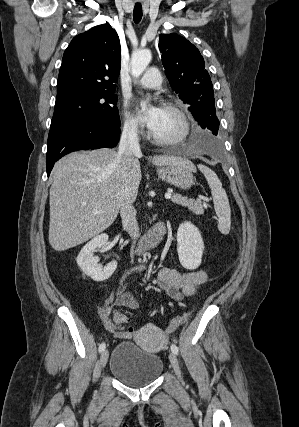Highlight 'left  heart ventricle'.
I'll list each match as a JSON object with an SVG mask.
<instances>
[{
	"label": "left heart ventricle",
	"instance_id": "b2bd125f",
	"mask_svg": "<svg viewBox=\"0 0 299 427\" xmlns=\"http://www.w3.org/2000/svg\"><path fill=\"white\" fill-rule=\"evenodd\" d=\"M180 131L181 124L178 117L171 111L162 108L161 115L152 133L162 138H170L178 135Z\"/></svg>",
	"mask_w": 299,
	"mask_h": 427
}]
</instances>
